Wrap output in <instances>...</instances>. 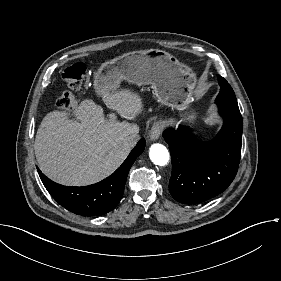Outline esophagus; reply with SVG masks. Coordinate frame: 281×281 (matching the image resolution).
<instances>
[{"instance_id": "obj_1", "label": "esophagus", "mask_w": 281, "mask_h": 281, "mask_svg": "<svg viewBox=\"0 0 281 281\" xmlns=\"http://www.w3.org/2000/svg\"><path fill=\"white\" fill-rule=\"evenodd\" d=\"M162 130H163V125L161 123L159 122L154 123L150 131V140L153 142L158 140Z\"/></svg>"}]
</instances>
